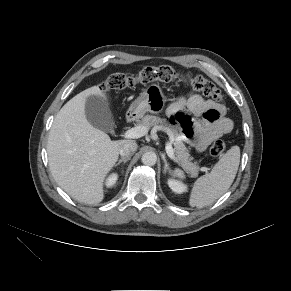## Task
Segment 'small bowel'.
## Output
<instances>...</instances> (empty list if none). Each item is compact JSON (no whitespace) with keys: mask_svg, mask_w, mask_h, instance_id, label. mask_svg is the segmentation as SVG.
I'll use <instances>...</instances> for the list:
<instances>
[{"mask_svg":"<svg viewBox=\"0 0 291 291\" xmlns=\"http://www.w3.org/2000/svg\"><path fill=\"white\" fill-rule=\"evenodd\" d=\"M167 112L171 121L181 127L185 140L199 152L228 134L233 126L222 104L196 93L179 98L168 107Z\"/></svg>","mask_w":291,"mask_h":291,"instance_id":"c3829d8e","label":"small bowel"}]
</instances>
